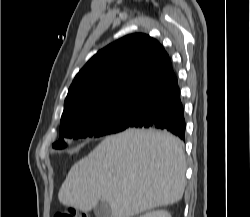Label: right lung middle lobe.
<instances>
[{
  "label": "right lung middle lobe",
  "instance_id": "dd1d6c3e",
  "mask_svg": "<svg viewBox=\"0 0 250 217\" xmlns=\"http://www.w3.org/2000/svg\"><path fill=\"white\" fill-rule=\"evenodd\" d=\"M137 100L87 110L61 122L60 140L52 147L63 149L65 139L96 138L125 130L135 113Z\"/></svg>",
  "mask_w": 250,
  "mask_h": 217
}]
</instances>
